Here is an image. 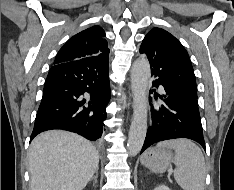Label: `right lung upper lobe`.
Wrapping results in <instances>:
<instances>
[{
	"label": "right lung upper lobe",
	"mask_w": 234,
	"mask_h": 190,
	"mask_svg": "<svg viewBox=\"0 0 234 190\" xmlns=\"http://www.w3.org/2000/svg\"><path fill=\"white\" fill-rule=\"evenodd\" d=\"M109 56L105 32L92 26L71 37L59 50L54 65L92 56Z\"/></svg>",
	"instance_id": "obj_1"
}]
</instances>
